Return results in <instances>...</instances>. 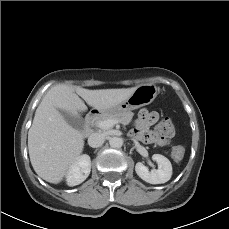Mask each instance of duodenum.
I'll use <instances>...</instances> for the list:
<instances>
[{
    "label": "duodenum",
    "mask_w": 229,
    "mask_h": 229,
    "mask_svg": "<svg viewBox=\"0 0 229 229\" xmlns=\"http://www.w3.org/2000/svg\"><path fill=\"white\" fill-rule=\"evenodd\" d=\"M99 117L98 114L90 113L85 117V128H84V135L88 136L93 133V123L97 120Z\"/></svg>",
    "instance_id": "410a0bca"
}]
</instances>
